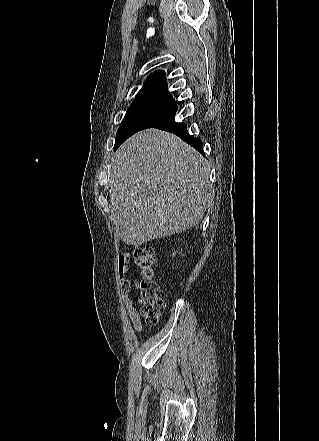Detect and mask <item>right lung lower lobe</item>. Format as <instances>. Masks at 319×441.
Returning <instances> with one entry per match:
<instances>
[{"instance_id":"98d812e1","label":"right lung lower lobe","mask_w":319,"mask_h":441,"mask_svg":"<svg viewBox=\"0 0 319 441\" xmlns=\"http://www.w3.org/2000/svg\"><path fill=\"white\" fill-rule=\"evenodd\" d=\"M177 111V106L175 105L171 110L165 112L161 116L157 117L153 122H151L147 128H157L164 131L174 133L179 136L182 140L187 142L189 145L193 146L200 153H203L202 141L198 138L192 137L188 134L186 124L176 123L175 114Z\"/></svg>"}]
</instances>
